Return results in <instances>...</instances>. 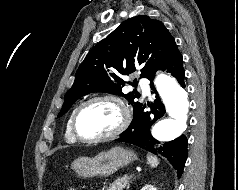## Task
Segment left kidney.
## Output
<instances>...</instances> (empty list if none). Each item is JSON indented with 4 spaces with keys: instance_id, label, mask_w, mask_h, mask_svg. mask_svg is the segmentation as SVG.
<instances>
[{
    "instance_id": "5707ae66",
    "label": "left kidney",
    "mask_w": 238,
    "mask_h": 190,
    "mask_svg": "<svg viewBox=\"0 0 238 190\" xmlns=\"http://www.w3.org/2000/svg\"><path fill=\"white\" fill-rule=\"evenodd\" d=\"M141 190H157L153 185H145Z\"/></svg>"
}]
</instances>
